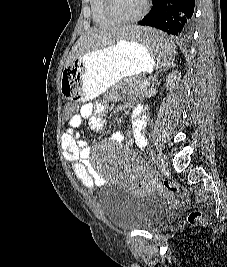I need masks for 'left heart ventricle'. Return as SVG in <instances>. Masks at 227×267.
I'll return each instance as SVG.
<instances>
[{"instance_id": "obj_1", "label": "left heart ventricle", "mask_w": 227, "mask_h": 267, "mask_svg": "<svg viewBox=\"0 0 227 267\" xmlns=\"http://www.w3.org/2000/svg\"><path fill=\"white\" fill-rule=\"evenodd\" d=\"M144 0H114V8L122 17H131L140 12Z\"/></svg>"}]
</instances>
